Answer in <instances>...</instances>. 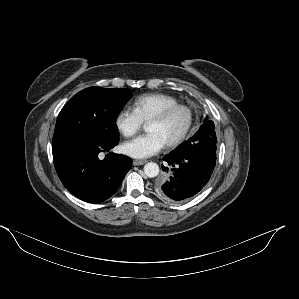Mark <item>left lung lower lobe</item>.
<instances>
[{
    "instance_id": "0a47b994",
    "label": "left lung lower lobe",
    "mask_w": 299,
    "mask_h": 299,
    "mask_svg": "<svg viewBox=\"0 0 299 299\" xmlns=\"http://www.w3.org/2000/svg\"><path fill=\"white\" fill-rule=\"evenodd\" d=\"M210 142L206 136L197 142H185L180 150L172 151L163 160L171 167L170 177L156 185L157 194L170 201H182L197 194L209 181L216 164V156L211 155Z\"/></svg>"
}]
</instances>
